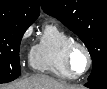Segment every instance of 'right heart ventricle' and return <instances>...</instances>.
<instances>
[{
	"mask_svg": "<svg viewBox=\"0 0 107 89\" xmlns=\"http://www.w3.org/2000/svg\"><path fill=\"white\" fill-rule=\"evenodd\" d=\"M73 38L55 22H47L30 53L33 69L50 73L58 78L73 79L64 65L63 52Z\"/></svg>",
	"mask_w": 107,
	"mask_h": 89,
	"instance_id": "1",
	"label": "right heart ventricle"
}]
</instances>
